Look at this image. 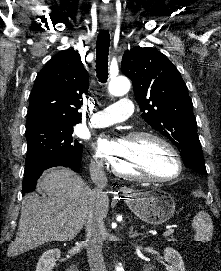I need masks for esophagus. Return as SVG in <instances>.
Instances as JSON below:
<instances>
[{
	"label": "esophagus",
	"mask_w": 221,
	"mask_h": 271,
	"mask_svg": "<svg viewBox=\"0 0 221 271\" xmlns=\"http://www.w3.org/2000/svg\"><path fill=\"white\" fill-rule=\"evenodd\" d=\"M123 192H128L129 190H128V188H122L121 189Z\"/></svg>",
	"instance_id": "esophagus-1"
}]
</instances>
